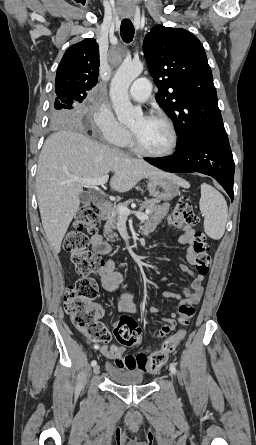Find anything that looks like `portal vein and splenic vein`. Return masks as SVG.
Segmentation results:
<instances>
[{
    "instance_id": "obj_1",
    "label": "portal vein and splenic vein",
    "mask_w": 256,
    "mask_h": 445,
    "mask_svg": "<svg viewBox=\"0 0 256 445\" xmlns=\"http://www.w3.org/2000/svg\"><path fill=\"white\" fill-rule=\"evenodd\" d=\"M108 178H109L108 175H104L100 178H88V179L72 177L71 180L74 182L84 184L89 187H94V186H98V185H104L107 182ZM118 213L122 217H128L131 213H134L136 215V217L142 221H145L149 218L148 217L149 210H147L145 213H142V212L131 211L127 207H124V206H119Z\"/></svg>"
}]
</instances>
